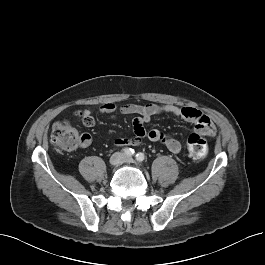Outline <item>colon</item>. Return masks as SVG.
I'll list each match as a JSON object with an SVG mask.
<instances>
[{"mask_svg": "<svg viewBox=\"0 0 265 265\" xmlns=\"http://www.w3.org/2000/svg\"><path fill=\"white\" fill-rule=\"evenodd\" d=\"M51 142L60 153L77 149L82 142V136L67 123H57L51 131ZM188 151L192 158L202 160L208 152L207 141L199 133H191L187 138Z\"/></svg>", "mask_w": 265, "mask_h": 265, "instance_id": "obj_1", "label": "colon"}]
</instances>
